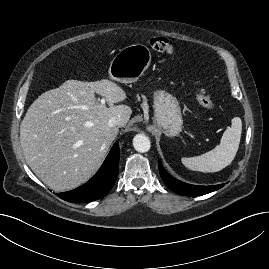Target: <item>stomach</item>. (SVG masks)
Here are the masks:
<instances>
[{
    "label": "stomach",
    "instance_id": "0dacf381",
    "mask_svg": "<svg viewBox=\"0 0 269 269\" xmlns=\"http://www.w3.org/2000/svg\"><path fill=\"white\" fill-rule=\"evenodd\" d=\"M152 54L144 44H132L121 49L112 59L109 76L121 83L136 82L151 64ZM154 124L166 136H177L183 125L178 100L164 90L153 93Z\"/></svg>",
    "mask_w": 269,
    "mask_h": 269
}]
</instances>
